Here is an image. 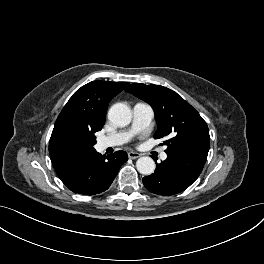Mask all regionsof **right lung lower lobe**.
<instances>
[{
  "label": "right lung lower lobe",
  "instance_id": "right-lung-lower-lobe-1",
  "mask_svg": "<svg viewBox=\"0 0 264 264\" xmlns=\"http://www.w3.org/2000/svg\"><path fill=\"white\" fill-rule=\"evenodd\" d=\"M127 160L124 151L105 157L94 150L64 161L54 168L61 181L74 193L95 195L109 188L121 165Z\"/></svg>",
  "mask_w": 264,
  "mask_h": 264
}]
</instances>
